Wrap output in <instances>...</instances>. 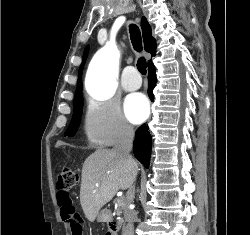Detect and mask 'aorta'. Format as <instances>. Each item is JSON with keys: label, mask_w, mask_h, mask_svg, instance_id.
Masks as SVG:
<instances>
[{"label": "aorta", "mask_w": 250, "mask_h": 235, "mask_svg": "<svg viewBox=\"0 0 250 235\" xmlns=\"http://www.w3.org/2000/svg\"><path fill=\"white\" fill-rule=\"evenodd\" d=\"M117 77V66L113 52L104 47L97 52L92 60L88 75V91L98 99H107L114 92Z\"/></svg>", "instance_id": "aorta-1"}]
</instances>
